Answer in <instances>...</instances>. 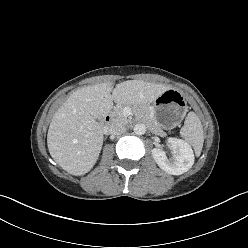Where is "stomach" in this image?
I'll return each mask as SVG.
<instances>
[{
  "mask_svg": "<svg viewBox=\"0 0 248 248\" xmlns=\"http://www.w3.org/2000/svg\"><path fill=\"white\" fill-rule=\"evenodd\" d=\"M187 104L183 94L170 88L157 97L152 104V117L164 129L175 127L184 118Z\"/></svg>",
  "mask_w": 248,
  "mask_h": 248,
  "instance_id": "1",
  "label": "stomach"
}]
</instances>
